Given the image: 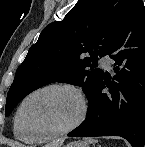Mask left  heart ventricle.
Wrapping results in <instances>:
<instances>
[{
  "label": "left heart ventricle",
  "mask_w": 145,
  "mask_h": 147,
  "mask_svg": "<svg viewBox=\"0 0 145 147\" xmlns=\"http://www.w3.org/2000/svg\"><path fill=\"white\" fill-rule=\"evenodd\" d=\"M79 110V101L73 93L45 91L26 103L21 116L22 127L27 134L60 130L75 120Z\"/></svg>",
  "instance_id": "left-heart-ventricle-1"
}]
</instances>
